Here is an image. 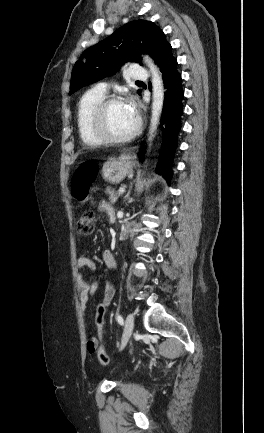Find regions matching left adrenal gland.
<instances>
[{"mask_svg": "<svg viewBox=\"0 0 264 433\" xmlns=\"http://www.w3.org/2000/svg\"><path fill=\"white\" fill-rule=\"evenodd\" d=\"M129 194H130V190L128 191V193H127V195H126V198H128V197H129Z\"/></svg>", "mask_w": 264, "mask_h": 433, "instance_id": "1", "label": "left adrenal gland"}]
</instances>
